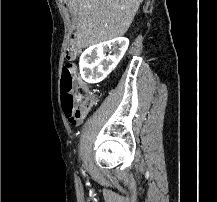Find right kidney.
<instances>
[{
	"label": "right kidney",
	"instance_id": "right-kidney-1",
	"mask_svg": "<svg viewBox=\"0 0 217 202\" xmlns=\"http://www.w3.org/2000/svg\"><path fill=\"white\" fill-rule=\"evenodd\" d=\"M129 40L127 38H114L109 42H101L96 46L87 48L80 56V74L85 82H102L123 58ZM106 52H113L106 56Z\"/></svg>",
	"mask_w": 217,
	"mask_h": 202
}]
</instances>
